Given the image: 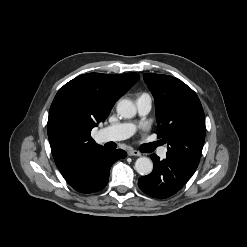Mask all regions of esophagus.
<instances>
[{"label":"esophagus","instance_id":"34e87169","mask_svg":"<svg viewBox=\"0 0 247 247\" xmlns=\"http://www.w3.org/2000/svg\"><path fill=\"white\" fill-rule=\"evenodd\" d=\"M128 155L129 156H141V153L137 150H129Z\"/></svg>","mask_w":247,"mask_h":247}]
</instances>
